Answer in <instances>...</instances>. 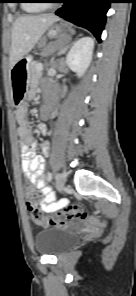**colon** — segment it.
Wrapping results in <instances>:
<instances>
[{
  "mask_svg": "<svg viewBox=\"0 0 136 296\" xmlns=\"http://www.w3.org/2000/svg\"><path fill=\"white\" fill-rule=\"evenodd\" d=\"M41 202V193L32 188L26 190V204L31 213L33 221L41 226L63 225L72 219H81L90 221L97 225H104L105 222L98 218H90L79 205H67L51 215H44L39 205Z\"/></svg>",
  "mask_w": 136,
  "mask_h": 296,
  "instance_id": "1",
  "label": "colon"
}]
</instances>
